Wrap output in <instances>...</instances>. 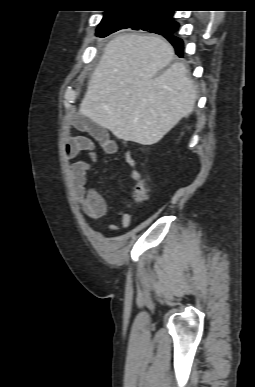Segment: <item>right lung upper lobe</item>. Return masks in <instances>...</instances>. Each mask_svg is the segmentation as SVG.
<instances>
[{"label": "right lung upper lobe", "mask_w": 255, "mask_h": 387, "mask_svg": "<svg viewBox=\"0 0 255 387\" xmlns=\"http://www.w3.org/2000/svg\"><path fill=\"white\" fill-rule=\"evenodd\" d=\"M116 1H119L120 4H118L112 10L106 11V13L115 14V13L132 12V11L154 12L157 10H163V9L154 8L156 4H158L156 3V1H161V0H116Z\"/></svg>", "instance_id": "obj_1"}]
</instances>
